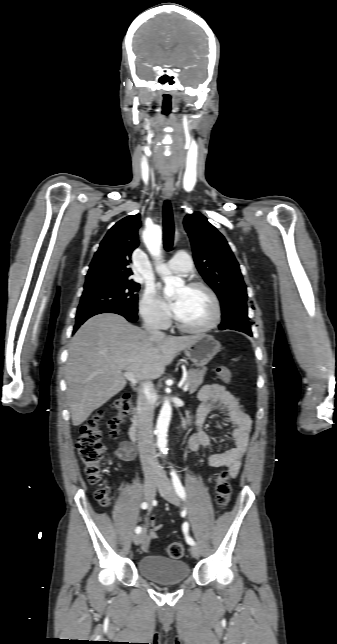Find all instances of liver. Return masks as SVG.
I'll return each instance as SVG.
<instances>
[{"mask_svg": "<svg viewBox=\"0 0 337 644\" xmlns=\"http://www.w3.org/2000/svg\"><path fill=\"white\" fill-rule=\"evenodd\" d=\"M198 336L154 337L117 314L88 319L71 339L65 369L74 426L126 386L123 370L138 380L157 379Z\"/></svg>", "mask_w": 337, "mask_h": 644, "instance_id": "liver-1", "label": "liver"}]
</instances>
